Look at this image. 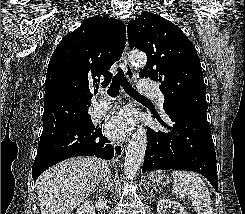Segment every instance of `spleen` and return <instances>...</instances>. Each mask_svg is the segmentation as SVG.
Listing matches in <instances>:
<instances>
[{"instance_id":"obj_1","label":"spleen","mask_w":245,"mask_h":214,"mask_svg":"<svg viewBox=\"0 0 245 214\" xmlns=\"http://www.w3.org/2000/svg\"><path fill=\"white\" fill-rule=\"evenodd\" d=\"M173 193L180 199L188 198L197 214H212L209 191L203 180L190 171H172Z\"/></svg>"}]
</instances>
